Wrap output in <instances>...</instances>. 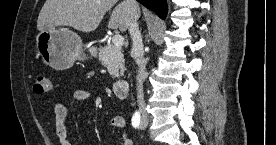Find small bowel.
<instances>
[{
  "mask_svg": "<svg viewBox=\"0 0 276 145\" xmlns=\"http://www.w3.org/2000/svg\"><path fill=\"white\" fill-rule=\"evenodd\" d=\"M73 97L76 101L85 102L90 99V93L83 89H77L73 92ZM67 114V108L63 103L57 102L54 105L56 136L60 145H78L69 138L66 126ZM111 126L120 132L123 145H132V141L124 133L125 120L122 116H114L111 119Z\"/></svg>",
  "mask_w": 276,
  "mask_h": 145,
  "instance_id": "small-bowel-1",
  "label": "small bowel"
}]
</instances>
